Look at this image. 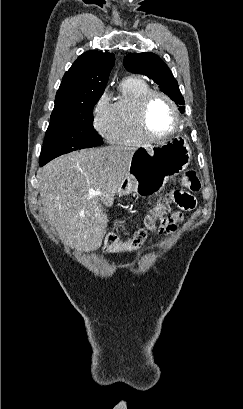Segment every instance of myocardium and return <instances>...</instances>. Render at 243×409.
Returning a JSON list of instances; mask_svg holds the SVG:
<instances>
[{"mask_svg":"<svg viewBox=\"0 0 243 409\" xmlns=\"http://www.w3.org/2000/svg\"><path fill=\"white\" fill-rule=\"evenodd\" d=\"M155 97H161L164 100H166L168 104L171 106L173 113H174V117H175V127L173 128L171 132L164 134V135L154 134L151 131L149 124H148L149 105L152 99ZM137 118H138L139 127L143 135L149 141H161V140L171 138L178 132L180 125H181V116H180V112H179L176 102L166 93L161 92V91H156V90L149 91L141 98L139 105H138Z\"/></svg>","mask_w":243,"mask_h":409,"instance_id":"myocardium-1","label":"myocardium"}]
</instances>
